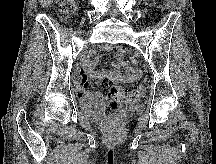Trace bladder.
<instances>
[{
	"label": "bladder",
	"instance_id": "bladder-1",
	"mask_svg": "<svg viewBox=\"0 0 216 164\" xmlns=\"http://www.w3.org/2000/svg\"><path fill=\"white\" fill-rule=\"evenodd\" d=\"M134 108L133 107H126L124 109H121L120 112L122 111H130V110H133Z\"/></svg>",
	"mask_w": 216,
	"mask_h": 164
}]
</instances>
